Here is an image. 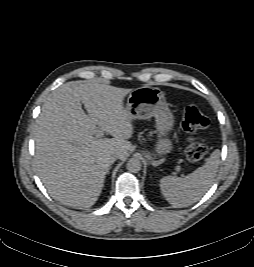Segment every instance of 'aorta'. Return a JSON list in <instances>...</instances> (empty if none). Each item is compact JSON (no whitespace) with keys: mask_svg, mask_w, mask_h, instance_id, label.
I'll use <instances>...</instances> for the list:
<instances>
[{"mask_svg":"<svg viewBox=\"0 0 254 267\" xmlns=\"http://www.w3.org/2000/svg\"><path fill=\"white\" fill-rule=\"evenodd\" d=\"M142 168L141 161L138 158H131L127 162V169L131 173H138Z\"/></svg>","mask_w":254,"mask_h":267,"instance_id":"aorta-1","label":"aorta"}]
</instances>
